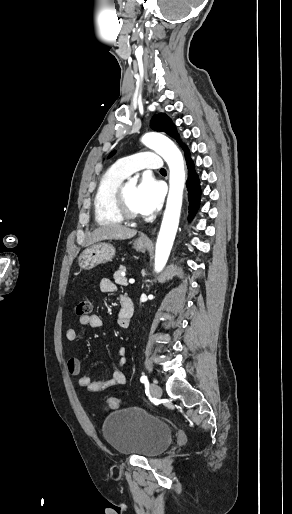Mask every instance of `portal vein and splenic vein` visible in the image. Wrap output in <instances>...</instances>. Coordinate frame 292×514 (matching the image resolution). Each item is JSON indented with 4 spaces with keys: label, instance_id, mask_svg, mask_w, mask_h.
<instances>
[{
    "label": "portal vein and splenic vein",
    "instance_id": "18ae733b",
    "mask_svg": "<svg viewBox=\"0 0 292 514\" xmlns=\"http://www.w3.org/2000/svg\"><path fill=\"white\" fill-rule=\"evenodd\" d=\"M135 280H129V284H134Z\"/></svg>",
    "mask_w": 292,
    "mask_h": 514
}]
</instances>
